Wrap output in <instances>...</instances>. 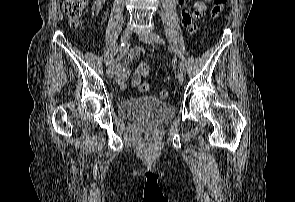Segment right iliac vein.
Instances as JSON below:
<instances>
[{
	"mask_svg": "<svg viewBox=\"0 0 295 202\" xmlns=\"http://www.w3.org/2000/svg\"><path fill=\"white\" fill-rule=\"evenodd\" d=\"M132 32H133L132 27H130V26L127 27V28L123 31V33H122V35H121V38H120V41H121V42H125V41H127L128 39H130L131 36H132ZM114 75H115L114 68H113L112 66H109V67L107 68V76H108L109 78H113Z\"/></svg>",
	"mask_w": 295,
	"mask_h": 202,
	"instance_id": "obj_1",
	"label": "right iliac vein"
}]
</instances>
